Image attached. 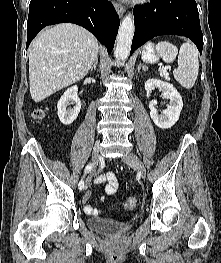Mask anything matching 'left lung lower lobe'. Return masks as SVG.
<instances>
[{"label": "left lung lower lobe", "mask_w": 221, "mask_h": 263, "mask_svg": "<svg viewBox=\"0 0 221 263\" xmlns=\"http://www.w3.org/2000/svg\"><path fill=\"white\" fill-rule=\"evenodd\" d=\"M134 23L130 55L153 37L167 34L190 38L202 53L203 34L195 0H151L134 7Z\"/></svg>", "instance_id": "1"}]
</instances>
